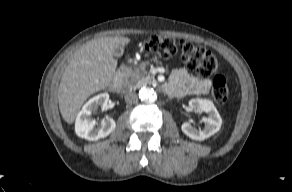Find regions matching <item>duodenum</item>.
Masks as SVG:
<instances>
[{
  "mask_svg": "<svg viewBox=\"0 0 292 192\" xmlns=\"http://www.w3.org/2000/svg\"><path fill=\"white\" fill-rule=\"evenodd\" d=\"M121 82H122V71H118L111 85V89L113 91H118L120 88Z\"/></svg>",
  "mask_w": 292,
  "mask_h": 192,
  "instance_id": "obj_1",
  "label": "duodenum"
}]
</instances>
